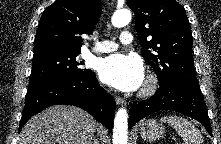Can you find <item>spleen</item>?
<instances>
[{"instance_id": "1", "label": "spleen", "mask_w": 221, "mask_h": 144, "mask_svg": "<svg viewBox=\"0 0 221 144\" xmlns=\"http://www.w3.org/2000/svg\"><path fill=\"white\" fill-rule=\"evenodd\" d=\"M160 121L171 125L183 138L185 144H203L204 140L200 131L189 120L171 115L162 117Z\"/></svg>"}]
</instances>
